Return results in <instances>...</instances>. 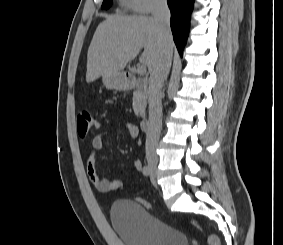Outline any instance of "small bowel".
I'll return each instance as SVG.
<instances>
[{
    "label": "small bowel",
    "mask_w": 283,
    "mask_h": 245,
    "mask_svg": "<svg viewBox=\"0 0 283 245\" xmlns=\"http://www.w3.org/2000/svg\"><path fill=\"white\" fill-rule=\"evenodd\" d=\"M121 124L132 138H136L139 134L138 127L130 121L122 120ZM109 134V130H103L95 135L91 141V149L86 160V172L91 184L99 192H109L111 180L109 178H102L98 175L95 166V153L103 147L104 139ZM134 169L138 172L143 171L141 161L134 162Z\"/></svg>",
    "instance_id": "obj_1"
}]
</instances>
